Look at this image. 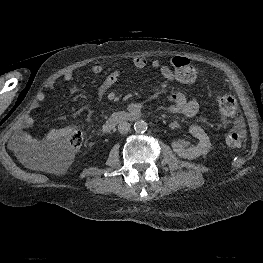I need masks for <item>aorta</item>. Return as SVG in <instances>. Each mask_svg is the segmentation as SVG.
Segmentation results:
<instances>
[{
  "mask_svg": "<svg viewBox=\"0 0 263 263\" xmlns=\"http://www.w3.org/2000/svg\"><path fill=\"white\" fill-rule=\"evenodd\" d=\"M148 124L144 120H138L134 123V130L137 133H144L147 131Z\"/></svg>",
  "mask_w": 263,
  "mask_h": 263,
  "instance_id": "1",
  "label": "aorta"
}]
</instances>
